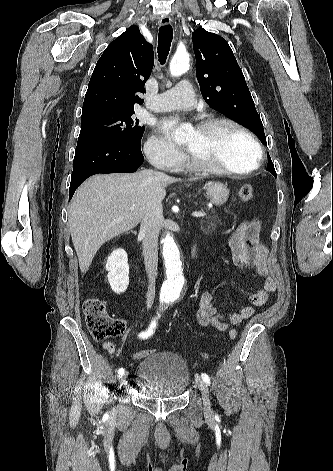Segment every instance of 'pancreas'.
Listing matches in <instances>:
<instances>
[{
    "label": "pancreas",
    "instance_id": "cf45deb5",
    "mask_svg": "<svg viewBox=\"0 0 333 471\" xmlns=\"http://www.w3.org/2000/svg\"><path fill=\"white\" fill-rule=\"evenodd\" d=\"M214 212V211H212ZM217 217H209L206 221L201 222V229H203L206 233H212L217 229Z\"/></svg>",
    "mask_w": 333,
    "mask_h": 471
}]
</instances>
